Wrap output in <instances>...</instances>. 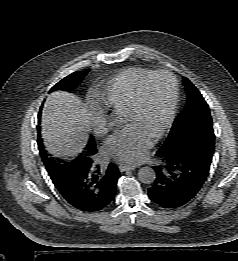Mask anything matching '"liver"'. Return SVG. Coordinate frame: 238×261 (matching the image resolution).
<instances>
[{
  "instance_id": "1",
  "label": "liver",
  "mask_w": 238,
  "mask_h": 261,
  "mask_svg": "<svg viewBox=\"0 0 238 261\" xmlns=\"http://www.w3.org/2000/svg\"><path fill=\"white\" fill-rule=\"evenodd\" d=\"M89 111L79 97L64 91L50 94L44 104L41 133L54 156H75L85 147L90 131Z\"/></svg>"
}]
</instances>
